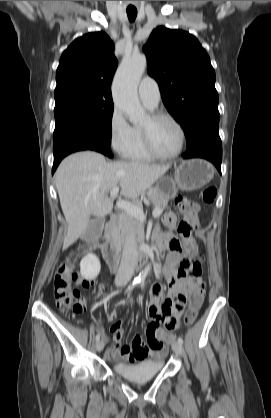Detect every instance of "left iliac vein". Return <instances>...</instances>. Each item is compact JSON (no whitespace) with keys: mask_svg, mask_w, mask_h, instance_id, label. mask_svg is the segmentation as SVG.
Wrapping results in <instances>:
<instances>
[{"mask_svg":"<svg viewBox=\"0 0 271 418\" xmlns=\"http://www.w3.org/2000/svg\"><path fill=\"white\" fill-rule=\"evenodd\" d=\"M172 350L174 351V353L176 355H182V353H183L182 344H180L179 342H173L172 343Z\"/></svg>","mask_w":271,"mask_h":418,"instance_id":"obj_1","label":"left iliac vein"}]
</instances>
